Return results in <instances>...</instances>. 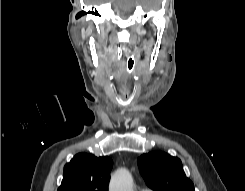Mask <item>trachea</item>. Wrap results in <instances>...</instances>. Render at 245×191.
Here are the masks:
<instances>
[{
	"mask_svg": "<svg viewBox=\"0 0 245 191\" xmlns=\"http://www.w3.org/2000/svg\"><path fill=\"white\" fill-rule=\"evenodd\" d=\"M135 64H136L135 57L133 55H130L127 59V62H126V67H127L129 72H131L133 70Z\"/></svg>",
	"mask_w": 245,
	"mask_h": 191,
	"instance_id": "obj_1",
	"label": "trachea"
}]
</instances>
